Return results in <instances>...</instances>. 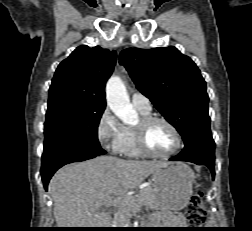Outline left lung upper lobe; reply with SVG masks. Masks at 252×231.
Instances as JSON below:
<instances>
[{"label": "left lung upper lobe", "mask_w": 252, "mask_h": 231, "mask_svg": "<svg viewBox=\"0 0 252 231\" xmlns=\"http://www.w3.org/2000/svg\"><path fill=\"white\" fill-rule=\"evenodd\" d=\"M120 63L185 144L212 137L206 83L191 58L173 46L128 48L121 52Z\"/></svg>", "instance_id": "obj_1"}]
</instances>
